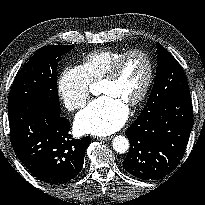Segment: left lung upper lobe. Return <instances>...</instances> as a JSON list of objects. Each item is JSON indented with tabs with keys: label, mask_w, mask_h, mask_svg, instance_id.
I'll use <instances>...</instances> for the list:
<instances>
[{
	"label": "left lung upper lobe",
	"mask_w": 205,
	"mask_h": 205,
	"mask_svg": "<svg viewBox=\"0 0 205 205\" xmlns=\"http://www.w3.org/2000/svg\"><path fill=\"white\" fill-rule=\"evenodd\" d=\"M156 46L158 53L156 78L147 104L141 113L152 112L175 96L190 94L180 64L161 44L156 42Z\"/></svg>",
	"instance_id": "left-lung-upper-lobe-1"
}]
</instances>
